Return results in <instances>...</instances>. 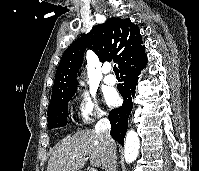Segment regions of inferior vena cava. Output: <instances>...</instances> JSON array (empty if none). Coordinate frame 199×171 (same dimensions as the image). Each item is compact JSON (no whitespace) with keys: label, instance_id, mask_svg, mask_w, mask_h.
Here are the masks:
<instances>
[{"label":"inferior vena cava","instance_id":"1","mask_svg":"<svg viewBox=\"0 0 199 171\" xmlns=\"http://www.w3.org/2000/svg\"><path fill=\"white\" fill-rule=\"evenodd\" d=\"M110 122L108 118H101L96 126L95 131L100 135L102 141L106 144L108 149L107 160L103 166L105 171H116V150L115 142L110 135Z\"/></svg>","mask_w":199,"mask_h":171}]
</instances>
